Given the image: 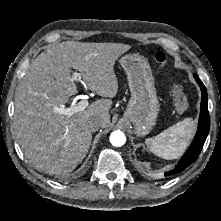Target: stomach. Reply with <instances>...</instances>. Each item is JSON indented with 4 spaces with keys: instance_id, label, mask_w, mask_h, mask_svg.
I'll use <instances>...</instances> for the list:
<instances>
[{
    "instance_id": "1",
    "label": "stomach",
    "mask_w": 221,
    "mask_h": 221,
    "mask_svg": "<svg viewBox=\"0 0 221 221\" xmlns=\"http://www.w3.org/2000/svg\"><path fill=\"white\" fill-rule=\"evenodd\" d=\"M120 64L131 92L125 117L132 122L135 134L142 137L155 126L160 109L151 68L140 54H127L120 59Z\"/></svg>"
}]
</instances>
